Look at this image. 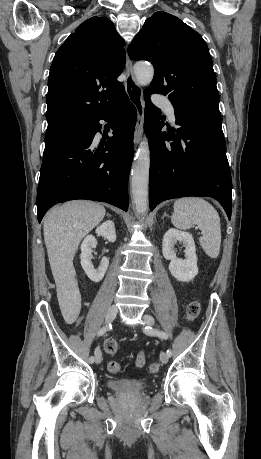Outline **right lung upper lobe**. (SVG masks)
<instances>
[{"label": "right lung upper lobe", "instance_id": "cb5924a9", "mask_svg": "<svg viewBox=\"0 0 261 459\" xmlns=\"http://www.w3.org/2000/svg\"><path fill=\"white\" fill-rule=\"evenodd\" d=\"M124 45L113 23L97 16L66 39L50 68L48 126L68 120L90 122L125 94L117 81L125 66Z\"/></svg>", "mask_w": 261, "mask_h": 459}]
</instances>
